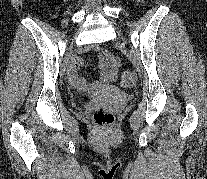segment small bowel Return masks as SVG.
<instances>
[{"label": "small bowel", "instance_id": "small-bowel-1", "mask_svg": "<svg viewBox=\"0 0 207 179\" xmlns=\"http://www.w3.org/2000/svg\"><path fill=\"white\" fill-rule=\"evenodd\" d=\"M89 50L98 53L100 79L93 83H88L85 79L77 77V70L82 65L80 58L74 59L68 74V85L77 91H99L111 83L115 82L118 73L120 62L119 59L108 49L91 46Z\"/></svg>", "mask_w": 207, "mask_h": 179}]
</instances>
